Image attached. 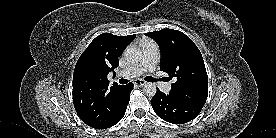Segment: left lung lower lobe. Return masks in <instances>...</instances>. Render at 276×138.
<instances>
[{"instance_id": "0a47b994", "label": "left lung lower lobe", "mask_w": 276, "mask_h": 138, "mask_svg": "<svg viewBox=\"0 0 276 138\" xmlns=\"http://www.w3.org/2000/svg\"><path fill=\"white\" fill-rule=\"evenodd\" d=\"M151 105L161 119L173 124H183L193 120L203 107L170 94L166 95L158 88Z\"/></svg>"}]
</instances>
